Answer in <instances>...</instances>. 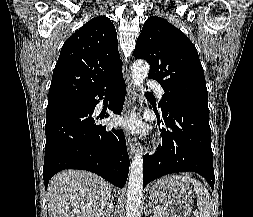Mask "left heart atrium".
<instances>
[{"label":"left heart atrium","instance_id":"1","mask_svg":"<svg viewBox=\"0 0 253 217\" xmlns=\"http://www.w3.org/2000/svg\"><path fill=\"white\" fill-rule=\"evenodd\" d=\"M118 122L120 125H122L126 128H129L131 130H136L141 125L134 114H130L125 117H121Z\"/></svg>","mask_w":253,"mask_h":217}]
</instances>
